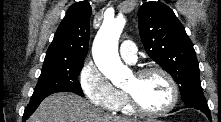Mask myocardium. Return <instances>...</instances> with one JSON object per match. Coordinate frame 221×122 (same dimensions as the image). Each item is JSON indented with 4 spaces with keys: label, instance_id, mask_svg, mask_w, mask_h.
Masks as SVG:
<instances>
[{
    "label": "myocardium",
    "instance_id": "1",
    "mask_svg": "<svg viewBox=\"0 0 221 122\" xmlns=\"http://www.w3.org/2000/svg\"><path fill=\"white\" fill-rule=\"evenodd\" d=\"M151 73H158L161 76L164 77V79L167 81L169 88H170V92H171V98L170 101L168 103V105L166 107H164L163 109L160 110H148L146 108H144L136 99V97L133 95L132 92L125 90L124 93L126 95V98L130 104V106L132 107V109L134 110V112L143 115V116H148V117H159V116H163L168 114L169 112H171L175 106L177 105L178 102V98H179V92H178V87L177 84L174 80V78L163 68L158 67V66H150V67H145L142 68L140 70H138L134 76L136 78H142L148 74Z\"/></svg>",
    "mask_w": 221,
    "mask_h": 122
}]
</instances>
